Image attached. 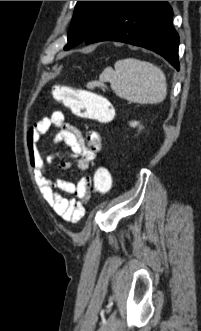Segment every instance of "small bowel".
Wrapping results in <instances>:
<instances>
[{
  "mask_svg": "<svg viewBox=\"0 0 201 331\" xmlns=\"http://www.w3.org/2000/svg\"><path fill=\"white\" fill-rule=\"evenodd\" d=\"M51 126L58 129L54 141L64 142L68 151L56 153L45 159L39 150V141ZM27 146L31 169L46 203L64 221L78 222L85 213V204L89 199V189L92 185L91 178L84 175L76 182L63 180L51 176L47 171V165L51 164L56 157L66 155L72 161L61 162L58 168L66 169L74 166L81 171L87 170L102 149L100 134L90 130L84 137L79 130L66 122L61 111H54L50 116L38 120L29 129ZM60 192L74 194L77 199H68Z\"/></svg>",
  "mask_w": 201,
  "mask_h": 331,
  "instance_id": "small-bowel-1",
  "label": "small bowel"
}]
</instances>
